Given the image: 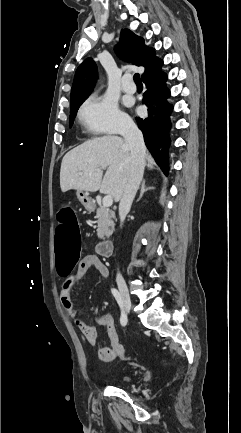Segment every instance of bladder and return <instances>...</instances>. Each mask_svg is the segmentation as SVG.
<instances>
[{"instance_id": "31cf9c89", "label": "bladder", "mask_w": 241, "mask_h": 433, "mask_svg": "<svg viewBox=\"0 0 241 433\" xmlns=\"http://www.w3.org/2000/svg\"><path fill=\"white\" fill-rule=\"evenodd\" d=\"M120 380L124 383H128L132 380V378L129 375H123V376H121Z\"/></svg>"}]
</instances>
